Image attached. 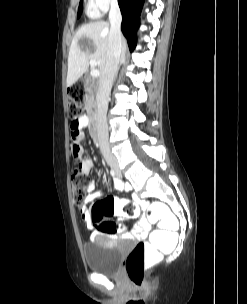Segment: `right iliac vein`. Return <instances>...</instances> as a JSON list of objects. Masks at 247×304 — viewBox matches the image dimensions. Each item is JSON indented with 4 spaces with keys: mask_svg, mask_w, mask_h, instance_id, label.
<instances>
[{
    "mask_svg": "<svg viewBox=\"0 0 247 304\" xmlns=\"http://www.w3.org/2000/svg\"><path fill=\"white\" fill-rule=\"evenodd\" d=\"M116 171H118V168L116 166H112Z\"/></svg>",
    "mask_w": 247,
    "mask_h": 304,
    "instance_id": "obj_1",
    "label": "right iliac vein"
}]
</instances>
